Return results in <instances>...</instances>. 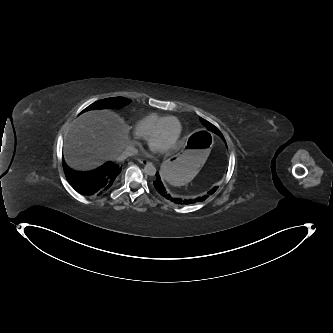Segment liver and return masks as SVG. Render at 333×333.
Masks as SVG:
<instances>
[{"label": "liver", "mask_w": 333, "mask_h": 333, "mask_svg": "<svg viewBox=\"0 0 333 333\" xmlns=\"http://www.w3.org/2000/svg\"><path fill=\"white\" fill-rule=\"evenodd\" d=\"M128 132L124 120L110 110L86 112L67 130L65 160L70 167L81 171L115 160L128 144Z\"/></svg>", "instance_id": "1"}]
</instances>
